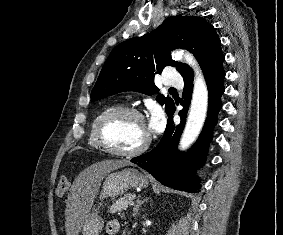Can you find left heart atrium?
Segmentation results:
<instances>
[{
    "instance_id": "left-heart-atrium-1",
    "label": "left heart atrium",
    "mask_w": 283,
    "mask_h": 235,
    "mask_svg": "<svg viewBox=\"0 0 283 235\" xmlns=\"http://www.w3.org/2000/svg\"><path fill=\"white\" fill-rule=\"evenodd\" d=\"M163 128V121L160 117L154 116L150 119L146 126L147 132H160Z\"/></svg>"
}]
</instances>
